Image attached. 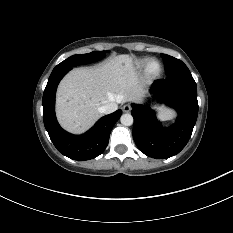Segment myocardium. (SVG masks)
Returning a JSON list of instances; mask_svg holds the SVG:
<instances>
[{
	"instance_id": "obj_1",
	"label": "myocardium",
	"mask_w": 233,
	"mask_h": 233,
	"mask_svg": "<svg viewBox=\"0 0 233 233\" xmlns=\"http://www.w3.org/2000/svg\"><path fill=\"white\" fill-rule=\"evenodd\" d=\"M153 63H157L158 64V70L157 71H152L151 70V65ZM163 71V66H162V63L158 60V59H150L147 61L146 63V66H145V75L148 77V78H157L161 75Z\"/></svg>"
}]
</instances>
